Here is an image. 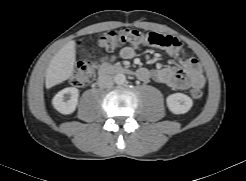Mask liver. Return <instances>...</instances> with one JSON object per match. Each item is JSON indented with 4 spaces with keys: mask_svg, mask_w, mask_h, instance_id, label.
<instances>
[{
    "mask_svg": "<svg viewBox=\"0 0 246 181\" xmlns=\"http://www.w3.org/2000/svg\"><path fill=\"white\" fill-rule=\"evenodd\" d=\"M76 60L75 41L66 43L52 58L46 69L45 85L47 89L68 80L74 71Z\"/></svg>",
    "mask_w": 246,
    "mask_h": 181,
    "instance_id": "liver-1",
    "label": "liver"
}]
</instances>
